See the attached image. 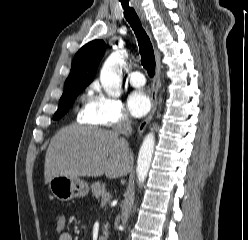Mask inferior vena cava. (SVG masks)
I'll list each match as a JSON object with an SVG mask.
<instances>
[{
    "label": "inferior vena cava",
    "instance_id": "inferior-vena-cava-1",
    "mask_svg": "<svg viewBox=\"0 0 248 240\" xmlns=\"http://www.w3.org/2000/svg\"><path fill=\"white\" fill-rule=\"evenodd\" d=\"M116 134L130 136L132 134L131 122L128 119H122L114 128Z\"/></svg>",
    "mask_w": 248,
    "mask_h": 240
}]
</instances>
